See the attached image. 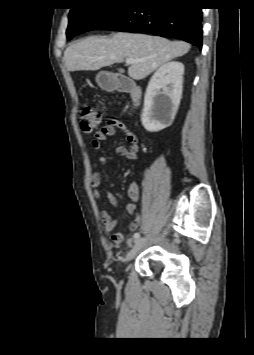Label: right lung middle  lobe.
Returning a JSON list of instances; mask_svg holds the SVG:
<instances>
[{
    "label": "right lung middle lobe",
    "instance_id": "1",
    "mask_svg": "<svg viewBox=\"0 0 254 355\" xmlns=\"http://www.w3.org/2000/svg\"><path fill=\"white\" fill-rule=\"evenodd\" d=\"M131 2V1H130ZM129 2L119 0H91L87 5L72 8L69 14L67 39L100 28Z\"/></svg>",
    "mask_w": 254,
    "mask_h": 355
}]
</instances>
